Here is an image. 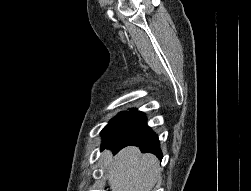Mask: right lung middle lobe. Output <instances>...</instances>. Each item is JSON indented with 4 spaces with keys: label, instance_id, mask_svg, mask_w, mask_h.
<instances>
[{
    "label": "right lung middle lobe",
    "instance_id": "obj_1",
    "mask_svg": "<svg viewBox=\"0 0 251 191\" xmlns=\"http://www.w3.org/2000/svg\"><path fill=\"white\" fill-rule=\"evenodd\" d=\"M142 112L137 110L123 111L119 113L116 117L111 119V121L104 127L101 131L103 137L102 144L107 143L112 138L120 134L124 129H126L130 124H132Z\"/></svg>",
    "mask_w": 251,
    "mask_h": 191
}]
</instances>
